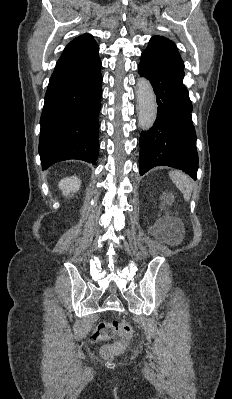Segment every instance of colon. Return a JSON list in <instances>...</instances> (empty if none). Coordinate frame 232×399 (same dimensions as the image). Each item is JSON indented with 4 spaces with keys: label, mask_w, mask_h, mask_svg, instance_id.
Listing matches in <instances>:
<instances>
[{
    "label": "colon",
    "mask_w": 232,
    "mask_h": 399,
    "mask_svg": "<svg viewBox=\"0 0 232 399\" xmlns=\"http://www.w3.org/2000/svg\"><path fill=\"white\" fill-rule=\"evenodd\" d=\"M131 321H100L99 326L94 327L98 341H104L105 347L111 346V341H116L120 328H131ZM103 358H112V351H103Z\"/></svg>",
    "instance_id": "5ec220e1"
}]
</instances>
